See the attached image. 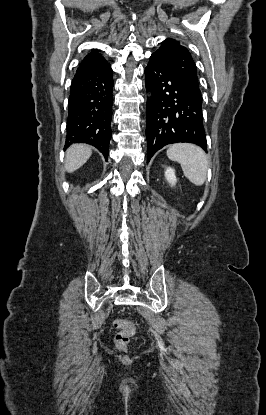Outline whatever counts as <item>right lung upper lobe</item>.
<instances>
[{
    "label": "right lung upper lobe",
    "instance_id": "cb5924a9",
    "mask_svg": "<svg viewBox=\"0 0 266 415\" xmlns=\"http://www.w3.org/2000/svg\"><path fill=\"white\" fill-rule=\"evenodd\" d=\"M106 65H108L107 61L97 53V49H94L79 64L75 76L91 72Z\"/></svg>",
    "mask_w": 266,
    "mask_h": 415
}]
</instances>
